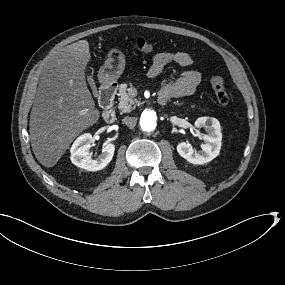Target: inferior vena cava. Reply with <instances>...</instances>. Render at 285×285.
Instances as JSON below:
<instances>
[{
	"mask_svg": "<svg viewBox=\"0 0 285 285\" xmlns=\"http://www.w3.org/2000/svg\"><path fill=\"white\" fill-rule=\"evenodd\" d=\"M122 122L126 124L130 129H133L136 126L137 118L136 117H125Z\"/></svg>",
	"mask_w": 285,
	"mask_h": 285,
	"instance_id": "obj_1",
	"label": "inferior vena cava"
}]
</instances>
